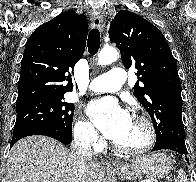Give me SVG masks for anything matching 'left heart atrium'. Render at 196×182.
I'll use <instances>...</instances> for the list:
<instances>
[{
    "instance_id": "obj_1",
    "label": "left heart atrium",
    "mask_w": 196,
    "mask_h": 182,
    "mask_svg": "<svg viewBox=\"0 0 196 182\" xmlns=\"http://www.w3.org/2000/svg\"><path fill=\"white\" fill-rule=\"evenodd\" d=\"M87 110L103 135L114 142L125 133L131 121L128 112L114 98L95 100Z\"/></svg>"
}]
</instances>
